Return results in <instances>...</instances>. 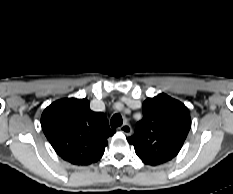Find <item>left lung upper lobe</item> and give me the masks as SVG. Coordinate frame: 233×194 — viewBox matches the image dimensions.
<instances>
[{
    "instance_id": "1",
    "label": "left lung upper lobe",
    "mask_w": 233,
    "mask_h": 194,
    "mask_svg": "<svg viewBox=\"0 0 233 194\" xmlns=\"http://www.w3.org/2000/svg\"><path fill=\"white\" fill-rule=\"evenodd\" d=\"M143 118L133 136L127 138L138 157L146 164L156 165L174 158L191 128L187 107L162 93L148 98L142 106Z\"/></svg>"
}]
</instances>
